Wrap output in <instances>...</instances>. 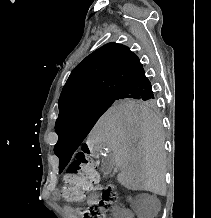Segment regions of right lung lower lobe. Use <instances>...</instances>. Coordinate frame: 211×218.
<instances>
[{
	"label": "right lung lower lobe",
	"instance_id": "right-lung-lower-lobe-1",
	"mask_svg": "<svg viewBox=\"0 0 211 218\" xmlns=\"http://www.w3.org/2000/svg\"><path fill=\"white\" fill-rule=\"evenodd\" d=\"M119 97H155L152 86L148 78L145 76L143 67L138 70L122 87Z\"/></svg>",
	"mask_w": 211,
	"mask_h": 218
}]
</instances>
